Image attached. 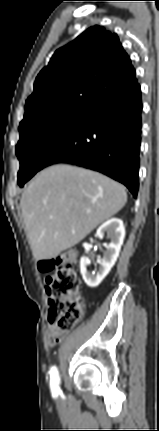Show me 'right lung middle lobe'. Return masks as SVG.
Masks as SVG:
<instances>
[{
    "mask_svg": "<svg viewBox=\"0 0 159 431\" xmlns=\"http://www.w3.org/2000/svg\"><path fill=\"white\" fill-rule=\"evenodd\" d=\"M87 116L80 112H59L19 128L16 155L20 161V187L41 170L42 161L53 145Z\"/></svg>",
    "mask_w": 159,
    "mask_h": 431,
    "instance_id": "1",
    "label": "right lung middle lobe"
}]
</instances>
